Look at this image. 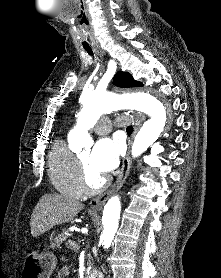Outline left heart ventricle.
<instances>
[{"instance_id":"obj_1","label":"left heart ventricle","mask_w":221,"mask_h":278,"mask_svg":"<svg viewBox=\"0 0 221 278\" xmlns=\"http://www.w3.org/2000/svg\"><path fill=\"white\" fill-rule=\"evenodd\" d=\"M90 151H86L83 152L79 155V158L81 159V161L84 163V165L86 166L89 175H90V180L93 184H97L100 180H102V178L104 176H102L101 174L97 173L90 164Z\"/></svg>"}]
</instances>
